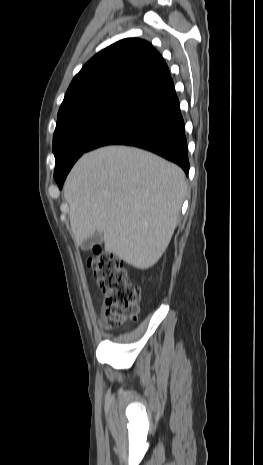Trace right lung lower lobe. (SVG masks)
<instances>
[{"label":"right lung lower lobe","instance_id":"1","mask_svg":"<svg viewBox=\"0 0 263 465\" xmlns=\"http://www.w3.org/2000/svg\"><path fill=\"white\" fill-rule=\"evenodd\" d=\"M113 144L151 151L178 164L188 175L185 126L171 78L138 96L129 109L95 140L90 150ZM65 177L57 180L59 188H62Z\"/></svg>","mask_w":263,"mask_h":465}]
</instances>
